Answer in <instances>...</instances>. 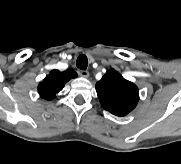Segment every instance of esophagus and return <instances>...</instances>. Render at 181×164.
<instances>
[{
  "instance_id": "obj_1",
  "label": "esophagus",
  "mask_w": 181,
  "mask_h": 164,
  "mask_svg": "<svg viewBox=\"0 0 181 164\" xmlns=\"http://www.w3.org/2000/svg\"><path fill=\"white\" fill-rule=\"evenodd\" d=\"M78 74L82 77L88 78L89 77V72L86 70H79Z\"/></svg>"
}]
</instances>
